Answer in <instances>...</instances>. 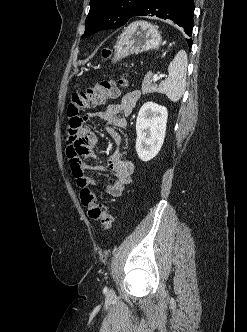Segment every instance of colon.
<instances>
[{
	"instance_id": "5ec220e1",
	"label": "colon",
	"mask_w": 247,
	"mask_h": 332,
	"mask_svg": "<svg viewBox=\"0 0 247 332\" xmlns=\"http://www.w3.org/2000/svg\"><path fill=\"white\" fill-rule=\"evenodd\" d=\"M108 50L103 51V57L107 58ZM128 86L126 79L118 82L102 81L88 88L74 92L71 95L68 107V133L70 135L79 131L85 122L84 111L103 104L107 99L115 98L119 95L122 88ZM81 201L88 209V215L91 219L99 221L103 231L111 229L113 224V216L107 211L105 205L98 203L96 194L90 188L81 191Z\"/></svg>"
}]
</instances>
